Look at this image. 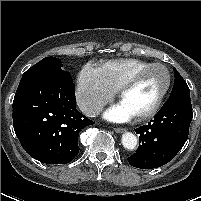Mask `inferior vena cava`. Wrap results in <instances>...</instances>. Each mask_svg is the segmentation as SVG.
Segmentation results:
<instances>
[{
    "label": "inferior vena cava",
    "mask_w": 201,
    "mask_h": 201,
    "mask_svg": "<svg viewBox=\"0 0 201 201\" xmlns=\"http://www.w3.org/2000/svg\"><path fill=\"white\" fill-rule=\"evenodd\" d=\"M79 109L89 117H95L102 111L103 107L99 103L80 100L78 102Z\"/></svg>",
    "instance_id": "1"
}]
</instances>
